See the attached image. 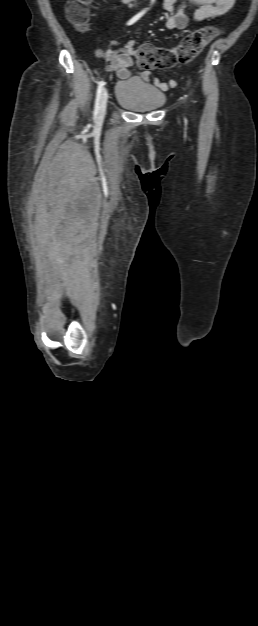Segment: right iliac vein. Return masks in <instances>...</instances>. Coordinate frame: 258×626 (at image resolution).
Segmentation results:
<instances>
[{
	"label": "right iliac vein",
	"mask_w": 258,
	"mask_h": 626,
	"mask_svg": "<svg viewBox=\"0 0 258 626\" xmlns=\"http://www.w3.org/2000/svg\"><path fill=\"white\" fill-rule=\"evenodd\" d=\"M107 100H108V93H107V90L104 89L101 100H100V104H99L98 120H102L105 116L106 108H107Z\"/></svg>",
	"instance_id": "right-iliac-vein-1"
}]
</instances>
